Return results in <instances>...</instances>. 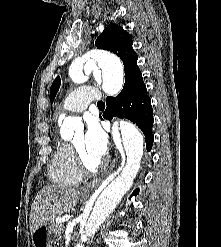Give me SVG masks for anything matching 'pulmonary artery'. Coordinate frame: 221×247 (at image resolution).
<instances>
[{
    "mask_svg": "<svg viewBox=\"0 0 221 247\" xmlns=\"http://www.w3.org/2000/svg\"><path fill=\"white\" fill-rule=\"evenodd\" d=\"M102 93L98 89L81 86L67 95L62 104L63 113H79L84 111L89 103L99 100Z\"/></svg>",
    "mask_w": 221,
    "mask_h": 247,
    "instance_id": "1",
    "label": "pulmonary artery"
}]
</instances>
